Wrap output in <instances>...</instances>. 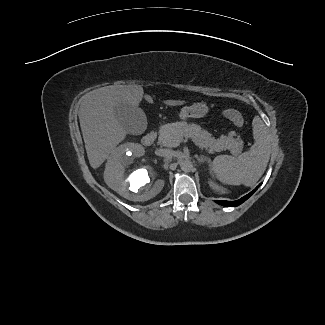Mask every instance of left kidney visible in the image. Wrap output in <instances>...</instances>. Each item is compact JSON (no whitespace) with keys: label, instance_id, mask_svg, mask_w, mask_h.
Here are the masks:
<instances>
[{"label":"left kidney","instance_id":"left-kidney-1","mask_svg":"<svg viewBox=\"0 0 325 325\" xmlns=\"http://www.w3.org/2000/svg\"><path fill=\"white\" fill-rule=\"evenodd\" d=\"M208 183H209V186H210L213 190H215V191H217V192H220V193H226V189H225V188L219 186L218 184H216V183L213 182L212 180H210Z\"/></svg>","mask_w":325,"mask_h":325}]
</instances>
